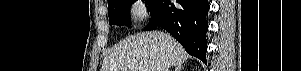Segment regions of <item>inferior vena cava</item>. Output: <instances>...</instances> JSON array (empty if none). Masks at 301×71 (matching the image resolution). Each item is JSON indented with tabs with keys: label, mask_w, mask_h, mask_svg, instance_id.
I'll list each match as a JSON object with an SVG mask.
<instances>
[{
	"label": "inferior vena cava",
	"mask_w": 301,
	"mask_h": 71,
	"mask_svg": "<svg viewBox=\"0 0 301 71\" xmlns=\"http://www.w3.org/2000/svg\"><path fill=\"white\" fill-rule=\"evenodd\" d=\"M163 71H169V64H165Z\"/></svg>",
	"instance_id": "602c4592"
}]
</instances>
